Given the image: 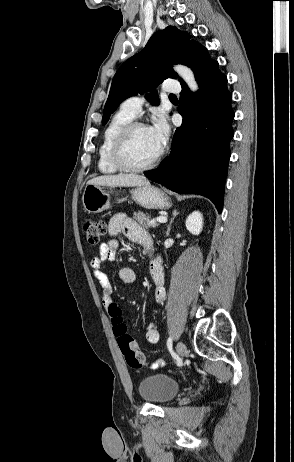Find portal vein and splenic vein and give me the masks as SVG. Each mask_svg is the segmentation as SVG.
<instances>
[{
  "label": "portal vein and splenic vein",
  "instance_id": "portal-vein-and-splenic-vein-1",
  "mask_svg": "<svg viewBox=\"0 0 294 462\" xmlns=\"http://www.w3.org/2000/svg\"><path fill=\"white\" fill-rule=\"evenodd\" d=\"M154 222L165 223L167 222V218L165 216H160L156 218L155 220H153L151 223H154Z\"/></svg>",
  "mask_w": 294,
  "mask_h": 462
}]
</instances>
